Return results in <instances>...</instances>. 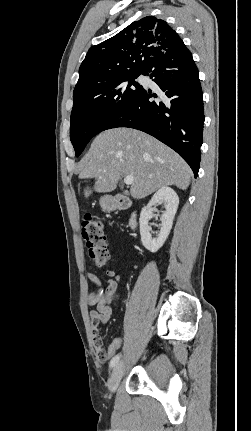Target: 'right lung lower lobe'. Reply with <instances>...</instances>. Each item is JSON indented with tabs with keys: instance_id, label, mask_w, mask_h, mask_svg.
Masks as SVG:
<instances>
[{
	"instance_id": "right-lung-lower-lobe-1",
	"label": "right lung lower lobe",
	"mask_w": 251,
	"mask_h": 431,
	"mask_svg": "<svg viewBox=\"0 0 251 431\" xmlns=\"http://www.w3.org/2000/svg\"><path fill=\"white\" fill-rule=\"evenodd\" d=\"M149 73L160 91L142 88L105 130L130 127L154 136L175 150L197 177L205 117L199 73L192 55L185 45L169 48L149 64L144 75Z\"/></svg>"
}]
</instances>
